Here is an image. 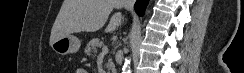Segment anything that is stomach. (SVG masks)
Masks as SVG:
<instances>
[{"instance_id":"1","label":"stomach","mask_w":244,"mask_h":73,"mask_svg":"<svg viewBox=\"0 0 244 73\" xmlns=\"http://www.w3.org/2000/svg\"><path fill=\"white\" fill-rule=\"evenodd\" d=\"M80 40L74 35H66L54 41L51 45L53 51L59 55L76 53L80 48Z\"/></svg>"}]
</instances>
